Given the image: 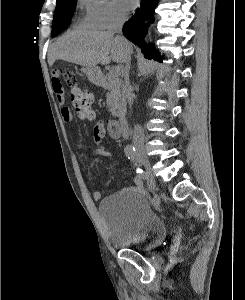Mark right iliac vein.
<instances>
[{
    "instance_id": "right-iliac-vein-1",
    "label": "right iliac vein",
    "mask_w": 245,
    "mask_h": 300,
    "mask_svg": "<svg viewBox=\"0 0 245 300\" xmlns=\"http://www.w3.org/2000/svg\"><path fill=\"white\" fill-rule=\"evenodd\" d=\"M137 160H138L139 163H141L145 167L147 177L151 178L150 182H152L153 186H155V179H154V176L152 174L151 164H150L148 156L145 154L144 151L140 150V151L137 152Z\"/></svg>"
}]
</instances>
